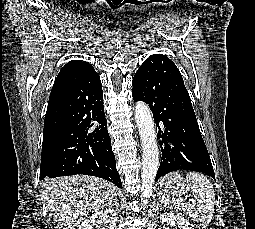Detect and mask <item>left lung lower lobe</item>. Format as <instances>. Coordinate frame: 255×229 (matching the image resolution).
<instances>
[{"label":"left lung lower lobe","mask_w":255,"mask_h":229,"mask_svg":"<svg viewBox=\"0 0 255 229\" xmlns=\"http://www.w3.org/2000/svg\"><path fill=\"white\" fill-rule=\"evenodd\" d=\"M132 96L134 101L149 104L158 127L162 158L155 181L181 169L215 179L190 96L182 75L169 58L153 54L142 63L133 78Z\"/></svg>","instance_id":"1"}]
</instances>
